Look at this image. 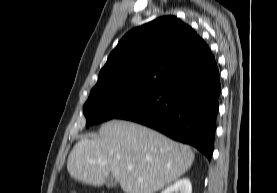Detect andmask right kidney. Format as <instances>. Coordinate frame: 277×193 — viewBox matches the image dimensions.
I'll return each instance as SVG.
<instances>
[{"instance_id": "obj_1", "label": "right kidney", "mask_w": 277, "mask_h": 193, "mask_svg": "<svg viewBox=\"0 0 277 193\" xmlns=\"http://www.w3.org/2000/svg\"><path fill=\"white\" fill-rule=\"evenodd\" d=\"M161 193H192V185L188 178H182Z\"/></svg>"}]
</instances>
